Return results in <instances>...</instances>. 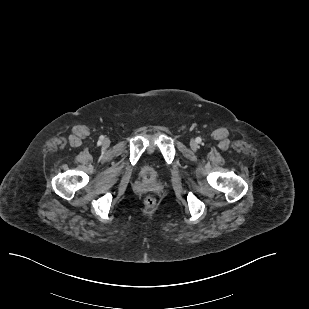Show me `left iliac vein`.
<instances>
[{
	"instance_id": "left-iliac-vein-1",
	"label": "left iliac vein",
	"mask_w": 309,
	"mask_h": 309,
	"mask_svg": "<svg viewBox=\"0 0 309 309\" xmlns=\"http://www.w3.org/2000/svg\"><path fill=\"white\" fill-rule=\"evenodd\" d=\"M190 146H191V148H192L193 150H196L197 147H198V144H197V142H196L195 140H191Z\"/></svg>"
}]
</instances>
